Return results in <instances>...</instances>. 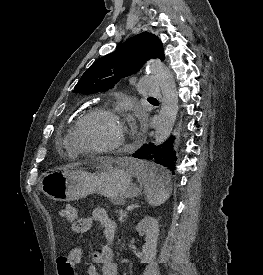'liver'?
<instances>
[{"label": "liver", "mask_w": 263, "mask_h": 275, "mask_svg": "<svg viewBox=\"0 0 263 275\" xmlns=\"http://www.w3.org/2000/svg\"><path fill=\"white\" fill-rule=\"evenodd\" d=\"M114 161H116V162H126V159H117V160H110V161H104V162H107V164L110 165Z\"/></svg>", "instance_id": "liver-1"}]
</instances>
